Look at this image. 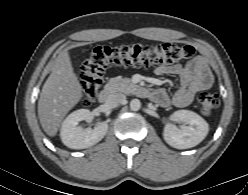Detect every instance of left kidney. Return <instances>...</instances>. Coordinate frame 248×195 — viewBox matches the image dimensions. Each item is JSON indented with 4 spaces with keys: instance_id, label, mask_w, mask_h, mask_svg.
I'll return each instance as SVG.
<instances>
[{
    "instance_id": "left-kidney-1",
    "label": "left kidney",
    "mask_w": 248,
    "mask_h": 195,
    "mask_svg": "<svg viewBox=\"0 0 248 195\" xmlns=\"http://www.w3.org/2000/svg\"><path fill=\"white\" fill-rule=\"evenodd\" d=\"M173 120L183 123L181 128L168 123L164 127L163 138L167 144L177 149H188L198 145L208 134V123L198 114L189 110H178Z\"/></svg>"
}]
</instances>
